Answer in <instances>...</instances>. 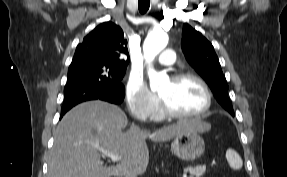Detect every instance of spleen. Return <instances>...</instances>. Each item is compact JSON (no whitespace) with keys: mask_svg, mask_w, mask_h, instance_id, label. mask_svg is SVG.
Here are the masks:
<instances>
[{"mask_svg":"<svg viewBox=\"0 0 287 177\" xmlns=\"http://www.w3.org/2000/svg\"><path fill=\"white\" fill-rule=\"evenodd\" d=\"M226 159L228 161L229 166L234 170H239L243 166V162H242L241 157L233 149H228L226 151Z\"/></svg>","mask_w":287,"mask_h":177,"instance_id":"3e777b00","label":"spleen"}]
</instances>
